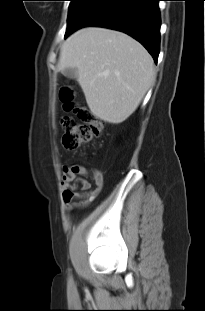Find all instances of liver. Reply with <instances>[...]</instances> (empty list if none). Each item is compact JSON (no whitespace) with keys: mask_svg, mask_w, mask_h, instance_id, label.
Returning a JSON list of instances; mask_svg holds the SVG:
<instances>
[{"mask_svg":"<svg viewBox=\"0 0 205 311\" xmlns=\"http://www.w3.org/2000/svg\"><path fill=\"white\" fill-rule=\"evenodd\" d=\"M77 70L91 113L119 124L138 107L154 79V62L132 37L100 27L72 34L61 49L57 70Z\"/></svg>","mask_w":205,"mask_h":311,"instance_id":"liver-1","label":"liver"}]
</instances>
